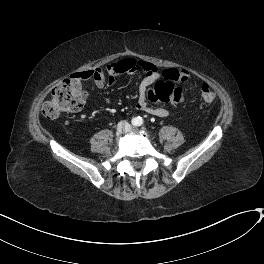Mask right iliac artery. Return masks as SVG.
I'll return each mask as SVG.
<instances>
[{
	"label": "right iliac artery",
	"instance_id": "right-iliac-artery-1",
	"mask_svg": "<svg viewBox=\"0 0 264 264\" xmlns=\"http://www.w3.org/2000/svg\"><path fill=\"white\" fill-rule=\"evenodd\" d=\"M137 122H138L137 119H132V121H131L132 125H134V126H137Z\"/></svg>",
	"mask_w": 264,
	"mask_h": 264
}]
</instances>
